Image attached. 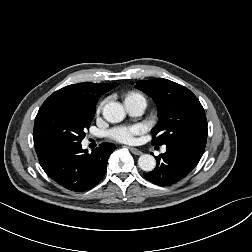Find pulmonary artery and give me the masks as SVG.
<instances>
[{"instance_id": "pulmonary-artery-1", "label": "pulmonary artery", "mask_w": 252, "mask_h": 252, "mask_svg": "<svg viewBox=\"0 0 252 252\" xmlns=\"http://www.w3.org/2000/svg\"><path fill=\"white\" fill-rule=\"evenodd\" d=\"M124 105L128 113L132 116H139L143 114L146 109L147 103L142 96H129L126 97ZM165 148H163V152Z\"/></svg>"}]
</instances>
